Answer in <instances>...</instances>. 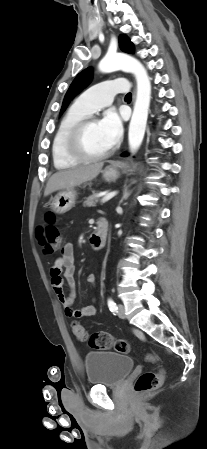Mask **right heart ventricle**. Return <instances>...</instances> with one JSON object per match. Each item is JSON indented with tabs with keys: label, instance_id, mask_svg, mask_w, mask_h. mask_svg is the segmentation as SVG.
<instances>
[{
	"label": "right heart ventricle",
	"instance_id": "obj_1",
	"mask_svg": "<svg viewBox=\"0 0 207 449\" xmlns=\"http://www.w3.org/2000/svg\"><path fill=\"white\" fill-rule=\"evenodd\" d=\"M90 114L74 103L63 116L54 134L52 142V159L56 169H68L80 161L72 158L66 151V138L71 128Z\"/></svg>",
	"mask_w": 207,
	"mask_h": 449
}]
</instances>
